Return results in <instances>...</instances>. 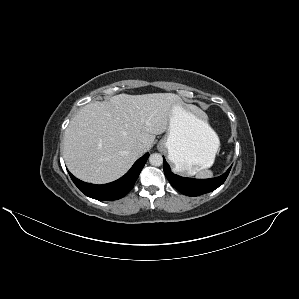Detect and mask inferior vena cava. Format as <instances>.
<instances>
[{"label":"inferior vena cava","mask_w":299,"mask_h":299,"mask_svg":"<svg viewBox=\"0 0 299 299\" xmlns=\"http://www.w3.org/2000/svg\"><path fill=\"white\" fill-rule=\"evenodd\" d=\"M135 150L138 153H143L145 151V148H144L143 144L139 143L136 145Z\"/></svg>","instance_id":"602c4592"}]
</instances>
